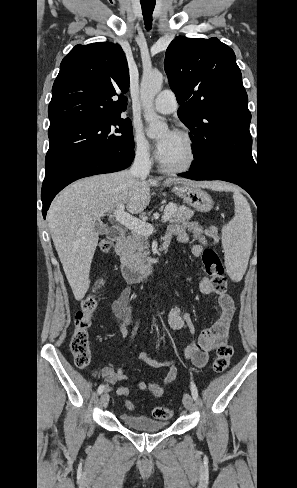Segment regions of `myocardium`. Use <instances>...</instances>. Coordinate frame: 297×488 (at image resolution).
I'll return each instance as SVG.
<instances>
[{
    "label": "myocardium",
    "instance_id": "obj_1",
    "mask_svg": "<svg viewBox=\"0 0 297 488\" xmlns=\"http://www.w3.org/2000/svg\"><path fill=\"white\" fill-rule=\"evenodd\" d=\"M176 134L178 136H180L182 139H184L185 142L187 143L188 148H189V152H190V156H189L188 161L185 164L180 165V166H170V165H167L166 163H164L162 161V159L160 158V156L158 155L157 161H158L160 168L166 172H169V173L187 172L195 166L197 159H198V148H197L196 142L193 139V137L184 131H179Z\"/></svg>",
    "mask_w": 297,
    "mask_h": 488
}]
</instances>
